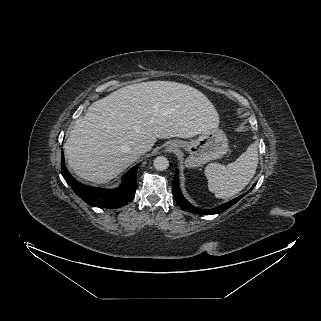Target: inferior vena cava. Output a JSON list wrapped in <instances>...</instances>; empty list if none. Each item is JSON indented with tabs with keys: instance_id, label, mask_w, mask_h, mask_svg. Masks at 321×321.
I'll return each instance as SVG.
<instances>
[{
	"instance_id": "obj_1",
	"label": "inferior vena cava",
	"mask_w": 321,
	"mask_h": 321,
	"mask_svg": "<svg viewBox=\"0 0 321 321\" xmlns=\"http://www.w3.org/2000/svg\"><path fill=\"white\" fill-rule=\"evenodd\" d=\"M149 150H150V147L144 143L138 144L137 146L134 147V151L139 155L145 154Z\"/></svg>"
}]
</instances>
